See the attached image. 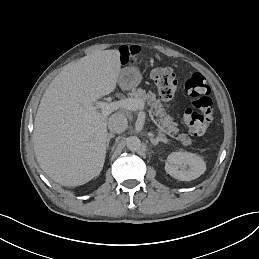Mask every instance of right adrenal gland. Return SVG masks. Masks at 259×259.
<instances>
[{"mask_svg": "<svg viewBox=\"0 0 259 259\" xmlns=\"http://www.w3.org/2000/svg\"><path fill=\"white\" fill-rule=\"evenodd\" d=\"M113 138H114V135H113V134H108V135H107V144H106L107 151L109 150L110 141H111V139H113Z\"/></svg>", "mask_w": 259, "mask_h": 259, "instance_id": "1", "label": "right adrenal gland"}]
</instances>
